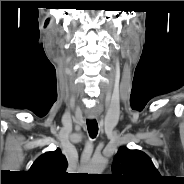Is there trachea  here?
Returning a JSON list of instances; mask_svg holds the SVG:
<instances>
[{"label": "trachea", "mask_w": 184, "mask_h": 184, "mask_svg": "<svg viewBox=\"0 0 184 184\" xmlns=\"http://www.w3.org/2000/svg\"><path fill=\"white\" fill-rule=\"evenodd\" d=\"M88 132L91 138H95L98 134V123L96 120H87L86 121Z\"/></svg>", "instance_id": "1"}]
</instances>
